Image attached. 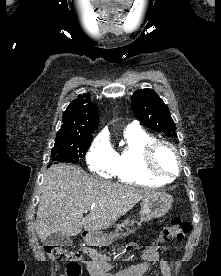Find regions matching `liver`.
Listing matches in <instances>:
<instances>
[{"instance_id": "6515ba94", "label": "liver", "mask_w": 221, "mask_h": 276, "mask_svg": "<svg viewBox=\"0 0 221 276\" xmlns=\"http://www.w3.org/2000/svg\"><path fill=\"white\" fill-rule=\"evenodd\" d=\"M154 193L114 182L100 181L72 165H53L44 175L37 210L36 232L41 240L55 232L76 236L106 229L141 199ZM90 211L85 217V210Z\"/></svg>"}]
</instances>
